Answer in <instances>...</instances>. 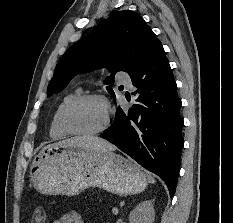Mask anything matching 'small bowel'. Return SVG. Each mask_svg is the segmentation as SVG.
Instances as JSON below:
<instances>
[{
    "instance_id": "1",
    "label": "small bowel",
    "mask_w": 233,
    "mask_h": 223,
    "mask_svg": "<svg viewBox=\"0 0 233 223\" xmlns=\"http://www.w3.org/2000/svg\"><path fill=\"white\" fill-rule=\"evenodd\" d=\"M54 223H84V220L78 212L70 211L64 213L59 219L55 220Z\"/></svg>"
}]
</instances>
